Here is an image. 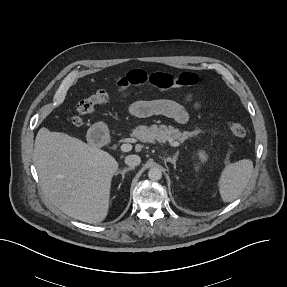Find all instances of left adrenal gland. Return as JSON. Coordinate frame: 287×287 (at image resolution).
Returning a JSON list of instances; mask_svg holds the SVG:
<instances>
[{"instance_id": "left-adrenal-gland-1", "label": "left adrenal gland", "mask_w": 287, "mask_h": 287, "mask_svg": "<svg viewBox=\"0 0 287 287\" xmlns=\"http://www.w3.org/2000/svg\"><path fill=\"white\" fill-rule=\"evenodd\" d=\"M177 159H178V152L173 156V158L167 157L164 160H165V162L172 163L174 165V168H176V161H177Z\"/></svg>"}]
</instances>
